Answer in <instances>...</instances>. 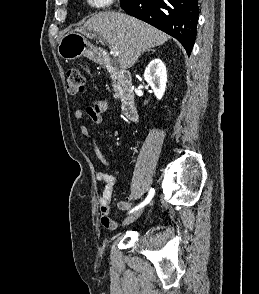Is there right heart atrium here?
Wrapping results in <instances>:
<instances>
[{
    "instance_id": "d8ad5b80",
    "label": "right heart atrium",
    "mask_w": 259,
    "mask_h": 294,
    "mask_svg": "<svg viewBox=\"0 0 259 294\" xmlns=\"http://www.w3.org/2000/svg\"><path fill=\"white\" fill-rule=\"evenodd\" d=\"M114 0H87L88 5L94 9L108 7Z\"/></svg>"
}]
</instances>
